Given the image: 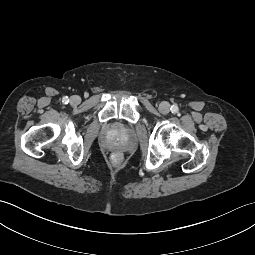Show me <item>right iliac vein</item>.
Wrapping results in <instances>:
<instances>
[{"label": "right iliac vein", "instance_id": "right-iliac-vein-1", "mask_svg": "<svg viewBox=\"0 0 255 255\" xmlns=\"http://www.w3.org/2000/svg\"><path fill=\"white\" fill-rule=\"evenodd\" d=\"M80 101H81V98L77 95H74L70 98V103L72 105H78L80 103Z\"/></svg>", "mask_w": 255, "mask_h": 255}]
</instances>
